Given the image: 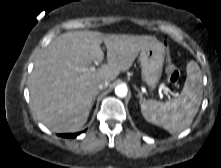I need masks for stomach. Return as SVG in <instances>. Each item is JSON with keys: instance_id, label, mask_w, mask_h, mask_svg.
<instances>
[{"instance_id": "1", "label": "stomach", "mask_w": 221, "mask_h": 168, "mask_svg": "<svg viewBox=\"0 0 221 168\" xmlns=\"http://www.w3.org/2000/svg\"><path fill=\"white\" fill-rule=\"evenodd\" d=\"M142 78L151 88H154L160 81L165 59V47L162 43L156 42L140 52Z\"/></svg>"}]
</instances>
